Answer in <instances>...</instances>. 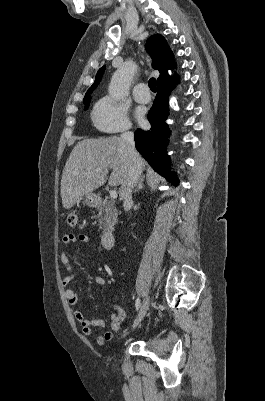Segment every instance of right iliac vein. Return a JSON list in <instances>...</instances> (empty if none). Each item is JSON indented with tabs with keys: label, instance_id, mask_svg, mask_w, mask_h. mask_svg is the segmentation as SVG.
I'll return each mask as SVG.
<instances>
[{
	"label": "right iliac vein",
	"instance_id": "63e3f726",
	"mask_svg": "<svg viewBox=\"0 0 265 401\" xmlns=\"http://www.w3.org/2000/svg\"><path fill=\"white\" fill-rule=\"evenodd\" d=\"M149 306H150V298L147 295L145 297L144 301H143V304H142L141 308H140V311H139V314L137 316V319L134 322L133 328H136L141 323V321L143 320L146 312L149 309Z\"/></svg>",
	"mask_w": 265,
	"mask_h": 401
}]
</instances>
